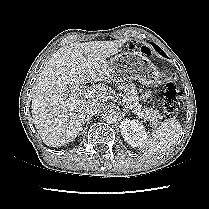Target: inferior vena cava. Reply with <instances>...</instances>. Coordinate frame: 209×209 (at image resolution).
<instances>
[{
	"label": "inferior vena cava",
	"mask_w": 209,
	"mask_h": 209,
	"mask_svg": "<svg viewBox=\"0 0 209 209\" xmlns=\"http://www.w3.org/2000/svg\"><path fill=\"white\" fill-rule=\"evenodd\" d=\"M101 104L98 101H90L85 106V112L89 115H94L100 110Z\"/></svg>",
	"instance_id": "602c4592"
}]
</instances>
